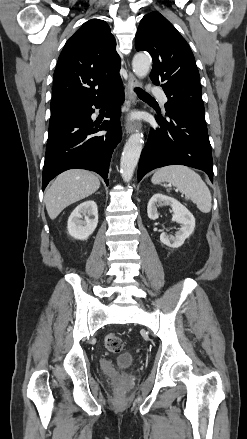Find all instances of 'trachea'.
<instances>
[{"mask_svg": "<svg viewBox=\"0 0 247 439\" xmlns=\"http://www.w3.org/2000/svg\"><path fill=\"white\" fill-rule=\"evenodd\" d=\"M135 92L137 93V95L139 97L151 98V96L148 93H146L145 91H143L141 88H135Z\"/></svg>", "mask_w": 247, "mask_h": 439, "instance_id": "1", "label": "trachea"}]
</instances>
